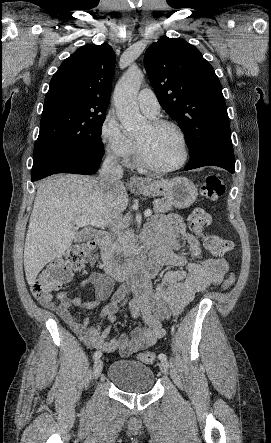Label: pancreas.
<instances>
[{"label":"pancreas","instance_id":"pancreas-1","mask_svg":"<svg viewBox=\"0 0 271 443\" xmlns=\"http://www.w3.org/2000/svg\"><path fill=\"white\" fill-rule=\"evenodd\" d=\"M154 212L156 214H164V212H168V210H172V204L170 202H164V200H154ZM134 233L132 229H128L125 233H121L119 235L117 241H114L113 247H115L116 253H129L132 249L131 245V237H133ZM104 253V251H102Z\"/></svg>","mask_w":271,"mask_h":443}]
</instances>
